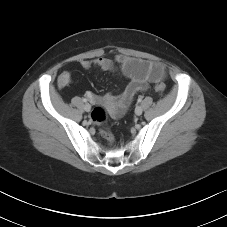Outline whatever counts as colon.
Returning <instances> with one entry per match:
<instances>
[{"mask_svg": "<svg viewBox=\"0 0 227 227\" xmlns=\"http://www.w3.org/2000/svg\"><path fill=\"white\" fill-rule=\"evenodd\" d=\"M155 90L157 91L158 94L163 95L166 90V86L163 82H158L155 85ZM91 120L92 122L101 127V134L103 138L109 143L113 144L114 143V136L112 135L111 131L106 125V113L105 110L102 107H96L92 111L91 114Z\"/></svg>", "mask_w": 227, "mask_h": 227, "instance_id": "5ec220e1", "label": "colon"}]
</instances>
